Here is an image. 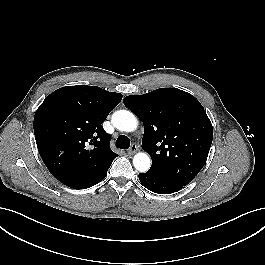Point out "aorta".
Returning a JSON list of instances; mask_svg holds the SVG:
<instances>
[{
  "label": "aorta",
  "instance_id": "aorta-1",
  "mask_svg": "<svg viewBox=\"0 0 265 265\" xmlns=\"http://www.w3.org/2000/svg\"><path fill=\"white\" fill-rule=\"evenodd\" d=\"M115 128L124 132L136 130L138 121L135 115L127 110H118L113 113L111 119ZM134 167L140 172H147L151 166V160L148 154L140 152L133 158Z\"/></svg>",
  "mask_w": 265,
  "mask_h": 265
}]
</instances>
